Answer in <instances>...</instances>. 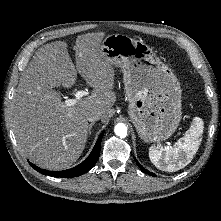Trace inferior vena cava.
Segmentation results:
<instances>
[{
	"label": "inferior vena cava",
	"mask_w": 221,
	"mask_h": 221,
	"mask_svg": "<svg viewBox=\"0 0 221 221\" xmlns=\"http://www.w3.org/2000/svg\"><path fill=\"white\" fill-rule=\"evenodd\" d=\"M86 118L90 122L98 121L101 118V113L97 110L87 112Z\"/></svg>",
	"instance_id": "obj_1"
}]
</instances>
